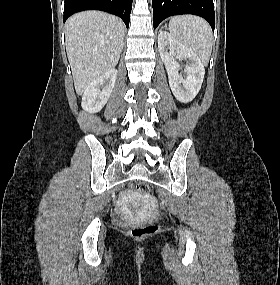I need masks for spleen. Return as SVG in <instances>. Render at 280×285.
Masks as SVG:
<instances>
[{
  "label": "spleen",
  "mask_w": 280,
  "mask_h": 285,
  "mask_svg": "<svg viewBox=\"0 0 280 285\" xmlns=\"http://www.w3.org/2000/svg\"><path fill=\"white\" fill-rule=\"evenodd\" d=\"M169 30L177 41L198 55L204 65H208L213 34L204 19L191 15L173 17L169 22Z\"/></svg>",
  "instance_id": "1"
}]
</instances>
